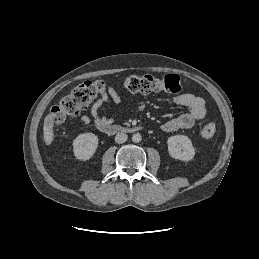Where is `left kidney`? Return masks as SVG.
<instances>
[{
  "label": "left kidney",
  "mask_w": 259,
  "mask_h": 259,
  "mask_svg": "<svg viewBox=\"0 0 259 259\" xmlns=\"http://www.w3.org/2000/svg\"><path fill=\"white\" fill-rule=\"evenodd\" d=\"M168 152L174 159L190 161L194 158L195 149L191 140L185 135H174L168 138Z\"/></svg>",
  "instance_id": "5707ae66"
}]
</instances>
